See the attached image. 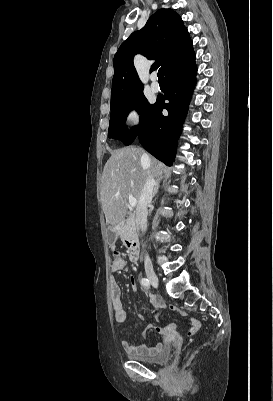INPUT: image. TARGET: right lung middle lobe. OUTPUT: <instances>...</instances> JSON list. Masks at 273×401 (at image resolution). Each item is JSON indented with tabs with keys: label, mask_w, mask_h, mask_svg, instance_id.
Segmentation results:
<instances>
[{
	"label": "right lung middle lobe",
	"mask_w": 273,
	"mask_h": 401,
	"mask_svg": "<svg viewBox=\"0 0 273 401\" xmlns=\"http://www.w3.org/2000/svg\"><path fill=\"white\" fill-rule=\"evenodd\" d=\"M154 104L148 103L143 93L132 96L119 105L111 107L109 138L120 139L125 145L131 144L139 131L144 128L151 119ZM132 107H136L140 113L139 125L131 131L124 128L126 117Z\"/></svg>",
	"instance_id": "obj_1"
}]
</instances>
